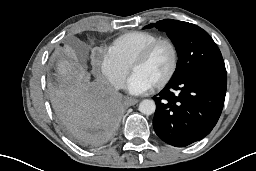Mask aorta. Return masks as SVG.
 Returning a JSON list of instances; mask_svg holds the SVG:
<instances>
[{
  "label": "aorta",
  "mask_w": 256,
  "mask_h": 171,
  "mask_svg": "<svg viewBox=\"0 0 256 171\" xmlns=\"http://www.w3.org/2000/svg\"><path fill=\"white\" fill-rule=\"evenodd\" d=\"M156 105L153 100L145 99L139 104V111L144 115H151L155 112Z\"/></svg>",
  "instance_id": "1"
}]
</instances>
